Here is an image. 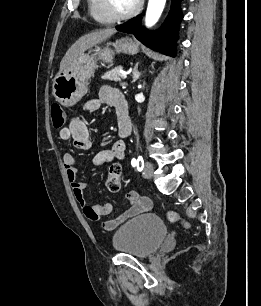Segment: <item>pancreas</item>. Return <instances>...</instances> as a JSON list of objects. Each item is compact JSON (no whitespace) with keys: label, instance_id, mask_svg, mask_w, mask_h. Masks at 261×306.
Wrapping results in <instances>:
<instances>
[{"label":"pancreas","instance_id":"obj_1","mask_svg":"<svg viewBox=\"0 0 261 306\" xmlns=\"http://www.w3.org/2000/svg\"><path fill=\"white\" fill-rule=\"evenodd\" d=\"M121 70H122V67L121 66H117V67L113 68L112 70L106 72L103 75V79L119 82V81H121L120 80V76H121L120 71Z\"/></svg>","mask_w":261,"mask_h":306}]
</instances>
